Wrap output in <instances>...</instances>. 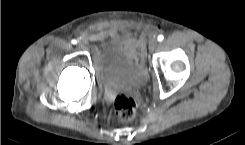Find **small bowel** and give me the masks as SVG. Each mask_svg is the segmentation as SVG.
I'll return each mask as SVG.
<instances>
[{
  "label": "small bowel",
  "mask_w": 245,
  "mask_h": 145,
  "mask_svg": "<svg viewBox=\"0 0 245 145\" xmlns=\"http://www.w3.org/2000/svg\"><path fill=\"white\" fill-rule=\"evenodd\" d=\"M107 33L108 32L105 30H99V31L93 32L89 34V40L93 42H98L101 39H103L107 35Z\"/></svg>",
  "instance_id": "1"
}]
</instances>
